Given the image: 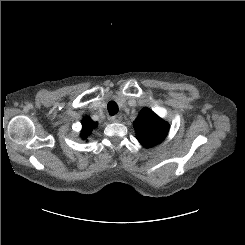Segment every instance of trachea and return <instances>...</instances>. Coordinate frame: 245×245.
I'll use <instances>...</instances> for the list:
<instances>
[{
	"instance_id": "obj_1",
	"label": "trachea",
	"mask_w": 245,
	"mask_h": 245,
	"mask_svg": "<svg viewBox=\"0 0 245 245\" xmlns=\"http://www.w3.org/2000/svg\"><path fill=\"white\" fill-rule=\"evenodd\" d=\"M107 109L110 115H115L118 112V106L114 101H110L107 105Z\"/></svg>"
}]
</instances>
